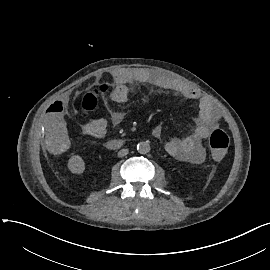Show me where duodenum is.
Segmentation results:
<instances>
[{
	"instance_id": "duodenum-1",
	"label": "duodenum",
	"mask_w": 270,
	"mask_h": 270,
	"mask_svg": "<svg viewBox=\"0 0 270 270\" xmlns=\"http://www.w3.org/2000/svg\"><path fill=\"white\" fill-rule=\"evenodd\" d=\"M123 145V141L122 140H119V139H113V140H110L108 143H107V146L111 149H115V148H119Z\"/></svg>"
}]
</instances>
